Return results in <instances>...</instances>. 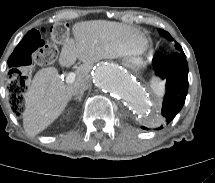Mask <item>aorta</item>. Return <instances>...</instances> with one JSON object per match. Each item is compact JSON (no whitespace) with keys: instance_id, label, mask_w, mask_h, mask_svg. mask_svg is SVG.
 <instances>
[{"instance_id":"aorta-1","label":"aorta","mask_w":215,"mask_h":183,"mask_svg":"<svg viewBox=\"0 0 215 183\" xmlns=\"http://www.w3.org/2000/svg\"><path fill=\"white\" fill-rule=\"evenodd\" d=\"M91 78L98 90L120 99L136 115L147 117L154 113L153 104L142 85L124 69L101 64L94 69Z\"/></svg>"}]
</instances>
